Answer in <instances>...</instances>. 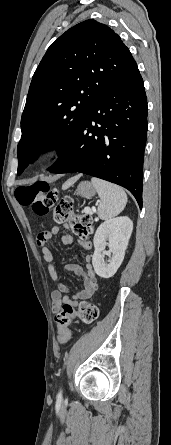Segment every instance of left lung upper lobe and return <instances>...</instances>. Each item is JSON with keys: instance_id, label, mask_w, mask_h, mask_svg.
<instances>
[{"instance_id": "1", "label": "left lung upper lobe", "mask_w": 171, "mask_h": 445, "mask_svg": "<svg viewBox=\"0 0 171 445\" xmlns=\"http://www.w3.org/2000/svg\"><path fill=\"white\" fill-rule=\"evenodd\" d=\"M135 67L120 37L93 19L55 40L30 84L17 147L18 174L52 146L60 155L89 107L113 81Z\"/></svg>"}]
</instances>
